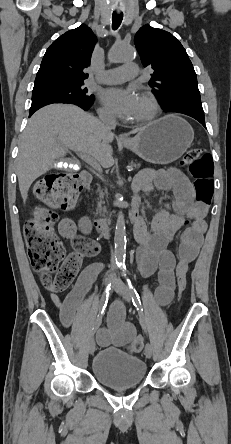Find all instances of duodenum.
Here are the masks:
<instances>
[{
	"label": "duodenum",
	"mask_w": 231,
	"mask_h": 444,
	"mask_svg": "<svg viewBox=\"0 0 231 444\" xmlns=\"http://www.w3.org/2000/svg\"><path fill=\"white\" fill-rule=\"evenodd\" d=\"M80 178L85 185L90 184L92 180L91 174L86 170L82 171ZM141 220L142 217L138 213L137 206L134 205L129 212V223L134 227V229H136L141 223ZM90 224L97 234L103 237H111L113 232V223L111 220L95 219L90 221Z\"/></svg>",
	"instance_id": "obj_1"
}]
</instances>
